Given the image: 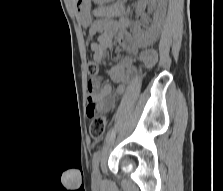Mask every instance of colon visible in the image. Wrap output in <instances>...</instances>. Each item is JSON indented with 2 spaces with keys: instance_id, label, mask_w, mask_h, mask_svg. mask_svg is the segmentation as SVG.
Returning <instances> with one entry per match:
<instances>
[{
  "instance_id": "1",
  "label": "colon",
  "mask_w": 223,
  "mask_h": 191,
  "mask_svg": "<svg viewBox=\"0 0 223 191\" xmlns=\"http://www.w3.org/2000/svg\"><path fill=\"white\" fill-rule=\"evenodd\" d=\"M88 74L91 79H94L99 72V66L96 61H90L87 65ZM90 113L94 115V108L89 109ZM108 124V118L104 115L95 116L92 119L90 125V135L94 139H100L105 134L106 128Z\"/></svg>"
}]
</instances>
